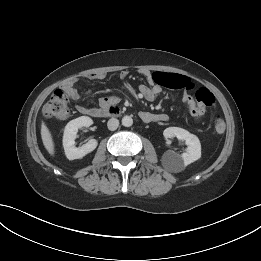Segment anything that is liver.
<instances>
[{
    "label": "liver",
    "mask_w": 261,
    "mask_h": 261,
    "mask_svg": "<svg viewBox=\"0 0 261 261\" xmlns=\"http://www.w3.org/2000/svg\"><path fill=\"white\" fill-rule=\"evenodd\" d=\"M41 138H42L43 145L45 149L48 151V153L50 155H54L55 148H54L53 138L44 122H42L41 125Z\"/></svg>",
    "instance_id": "1"
}]
</instances>
